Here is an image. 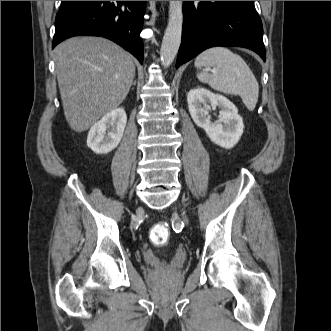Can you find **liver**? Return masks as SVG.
I'll list each match as a JSON object with an SVG mask.
<instances>
[{"mask_svg": "<svg viewBox=\"0 0 331 331\" xmlns=\"http://www.w3.org/2000/svg\"><path fill=\"white\" fill-rule=\"evenodd\" d=\"M65 118L83 132L126 98L135 76L132 56L100 37H72L54 50Z\"/></svg>", "mask_w": 331, "mask_h": 331, "instance_id": "obj_1", "label": "liver"}]
</instances>
